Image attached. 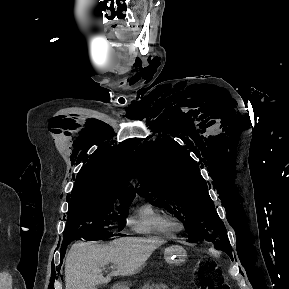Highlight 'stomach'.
<instances>
[{"mask_svg": "<svg viewBox=\"0 0 289 289\" xmlns=\"http://www.w3.org/2000/svg\"><path fill=\"white\" fill-rule=\"evenodd\" d=\"M165 261L169 264H183L187 258L186 250L180 245H172L164 251ZM114 289H128L123 284H118Z\"/></svg>", "mask_w": 289, "mask_h": 289, "instance_id": "0dacf381", "label": "stomach"}]
</instances>
